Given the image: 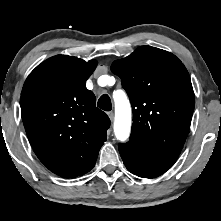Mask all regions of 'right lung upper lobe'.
I'll list each match as a JSON object with an SVG mask.
<instances>
[{
    "instance_id": "obj_1",
    "label": "right lung upper lobe",
    "mask_w": 221,
    "mask_h": 221,
    "mask_svg": "<svg viewBox=\"0 0 221 221\" xmlns=\"http://www.w3.org/2000/svg\"><path fill=\"white\" fill-rule=\"evenodd\" d=\"M97 66L68 55L53 56L27 77L20 99L23 124L39 160L68 178L85 174L106 141L110 119L95 106L85 82Z\"/></svg>"
}]
</instances>
